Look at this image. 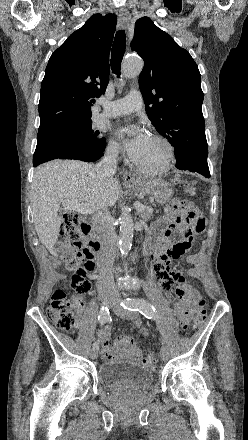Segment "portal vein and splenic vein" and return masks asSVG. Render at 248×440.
Instances as JSON below:
<instances>
[{"mask_svg": "<svg viewBox=\"0 0 248 440\" xmlns=\"http://www.w3.org/2000/svg\"><path fill=\"white\" fill-rule=\"evenodd\" d=\"M62 205L66 210L77 211L81 214H89L94 211L93 207L87 204H82L80 201L75 199H66L62 201ZM134 206L139 212H142L145 209V206L137 201L134 203Z\"/></svg>", "mask_w": 248, "mask_h": 440, "instance_id": "18ae733b", "label": "portal vein and splenic vein"}]
</instances>
